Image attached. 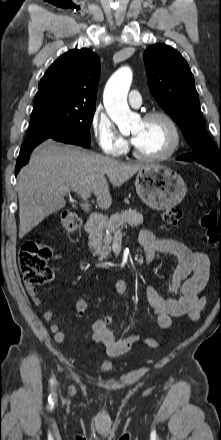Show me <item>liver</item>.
<instances>
[{
	"label": "liver",
	"mask_w": 221,
	"mask_h": 440,
	"mask_svg": "<svg viewBox=\"0 0 221 440\" xmlns=\"http://www.w3.org/2000/svg\"><path fill=\"white\" fill-rule=\"evenodd\" d=\"M145 165L121 162L55 141L43 142L18 174L19 238L64 208L68 191L93 192L98 206L108 209L112 204L109 182L119 187Z\"/></svg>",
	"instance_id": "6515ba94"
}]
</instances>
